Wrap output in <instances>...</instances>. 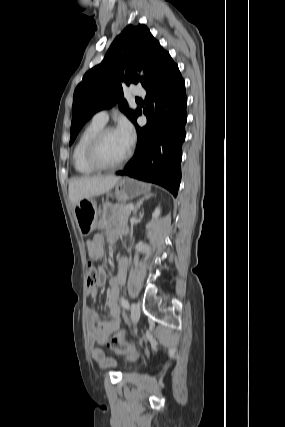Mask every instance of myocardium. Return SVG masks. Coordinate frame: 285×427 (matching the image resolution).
I'll list each match as a JSON object with an SVG mask.
<instances>
[{
    "label": "myocardium",
    "instance_id": "myocardium-1",
    "mask_svg": "<svg viewBox=\"0 0 285 427\" xmlns=\"http://www.w3.org/2000/svg\"><path fill=\"white\" fill-rule=\"evenodd\" d=\"M116 129L112 126H106L103 127L99 132L96 133V135L89 141L86 151H85V158L87 163L93 167L96 170H112L115 169L121 165H123L132 155V149L131 147L128 149L126 154L113 163H105L100 158V149L101 145L103 143V140L105 139L106 135L109 132L115 131Z\"/></svg>",
    "mask_w": 285,
    "mask_h": 427
}]
</instances>
